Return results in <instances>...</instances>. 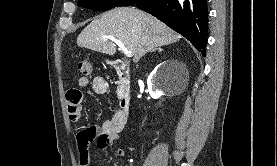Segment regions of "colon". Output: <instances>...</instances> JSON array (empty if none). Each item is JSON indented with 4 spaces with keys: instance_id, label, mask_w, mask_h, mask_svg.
I'll list each match as a JSON object with an SVG mask.
<instances>
[{
    "instance_id": "obj_1",
    "label": "colon",
    "mask_w": 277,
    "mask_h": 166,
    "mask_svg": "<svg viewBox=\"0 0 277 166\" xmlns=\"http://www.w3.org/2000/svg\"><path fill=\"white\" fill-rule=\"evenodd\" d=\"M78 68H79V71L81 72V74H83L84 76H88L92 72L93 64H92L91 60L83 59L79 62Z\"/></svg>"
}]
</instances>
